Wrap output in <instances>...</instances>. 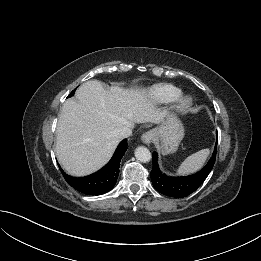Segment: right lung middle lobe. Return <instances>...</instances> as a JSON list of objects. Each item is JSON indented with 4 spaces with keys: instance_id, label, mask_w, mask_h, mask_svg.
<instances>
[{
    "instance_id": "dd1d6c3e",
    "label": "right lung middle lobe",
    "mask_w": 261,
    "mask_h": 261,
    "mask_svg": "<svg viewBox=\"0 0 261 261\" xmlns=\"http://www.w3.org/2000/svg\"><path fill=\"white\" fill-rule=\"evenodd\" d=\"M75 90H73L68 97H71L74 95Z\"/></svg>"
}]
</instances>
